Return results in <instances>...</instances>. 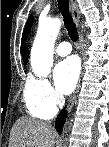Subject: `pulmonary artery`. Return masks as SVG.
I'll return each mask as SVG.
<instances>
[{"instance_id":"pulmonary-artery-1","label":"pulmonary artery","mask_w":109,"mask_h":147,"mask_svg":"<svg viewBox=\"0 0 109 147\" xmlns=\"http://www.w3.org/2000/svg\"><path fill=\"white\" fill-rule=\"evenodd\" d=\"M72 47L69 42H61L55 47V53L58 56L64 57L71 53ZM52 117H48L47 119H51Z\"/></svg>"}]
</instances>
